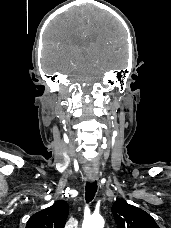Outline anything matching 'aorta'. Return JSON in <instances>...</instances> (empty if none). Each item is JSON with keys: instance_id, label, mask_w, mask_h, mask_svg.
<instances>
[{"instance_id": "762f6f07", "label": "aorta", "mask_w": 171, "mask_h": 228, "mask_svg": "<svg viewBox=\"0 0 171 228\" xmlns=\"http://www.w3.org/2000/svg\"><path fill=\"white\" fill-rule=\"evenodd\" d=\"M82 228H104V219L99 215H92L84 219Z\"/></svg>"}]
</instances>
